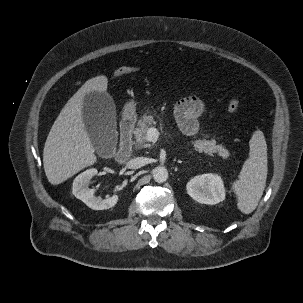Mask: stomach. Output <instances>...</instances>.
Returning a JSON list of instances; mask_svg holds the SVG:
<instances>
[{"label": "stomach", "instance_id": "0dacf381", "mask_svg": "<svg viewBox=\"0 0 303 303\" xmlns=\"http://www.w3.org/2000/svg\"><path fill=\"white\" fill-rule=\"evenodd\" d=\"M135 103L134 102H129L126 104L125 108H124V116L125 117H132L135 115Z\"/></svg>", "mask_w": 303, "mask_h": 303}]
</instances>
